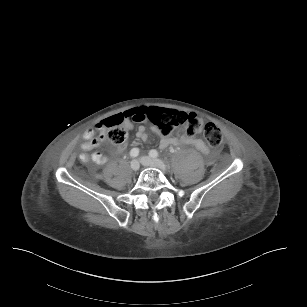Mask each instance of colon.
I'll return each mask as SVG.
<instances>
[{
	"mask_svg": "<svg viewBox=\"0 0 307 307\" xmlns=\"http://www.w3.org/2000/svg\"><path fill=\"white\" fill-rule=\"evenodd\" d=\"M145 116L147 121L164 136L170 135L174 130L185 135H193L202 130L204 138L211 147L219 149L222 146V134L218 127L213 123L201 122L191 113L159 109L148 111ZM126 118L121 116L105 119L98 124L101 134L107 141L116 145L125 142L127 131L123 122Z\"/></svg>",
	"mask_w": 307,
	"mask_h": 307,
	"instance_id": "1",
	"label": "colon"
}]
</instances>
